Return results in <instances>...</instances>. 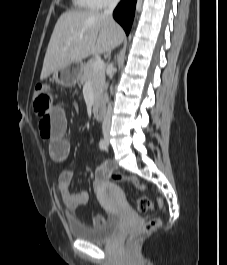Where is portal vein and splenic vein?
I'll return each mask as SVG.
<instances>
[{
    "label": "portal vein and splenic vein",
    "instance_id": "1",
    "mask_svg": "<svg viewBox=\"0 0 227 265\" xmlns=\"http://www.w3.org/2000/svg\"><path fill=\"white\" fill-rule=\"evenodd\" d=\"M104 68V62L101 59H98L93 64V70L97 71Z\"/></svg>",
    "mask_w": 227,
    "mask_h": 265
}]
</instances>
